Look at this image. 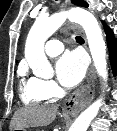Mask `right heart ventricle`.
Segmentation results:
<instances>
[{"mask_svg": "<svg viewBox=\"0 0 117 131\" xmlns=\"http://www.w3.org/2000/svg\"><path fill=\"white\" fill-rule=\"evenodd\" d=\"M20 96L27 105H39L45 103L49 96L41 87L40 79L36 77H23L20 83Z\"/></svg>", "mask_w": 117, "mask_h": 131, "instance_id": "right-heart-ventricle-1", "label": "right heart ventricle"}]
</instances>
